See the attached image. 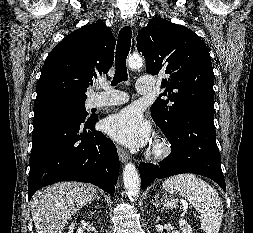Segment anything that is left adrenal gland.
<instances>
[{
	"instance_id": "1",
	"label": "left adrenal gland",
	"mask_w": 253,
	"mask_h": 233,
	"mask_svg": "<svg viewBox=\"0 0 253 233\" xmlns=\"http://www.w3.org/2000/svg\"><path fill=\"white\" fill-rule=\"evenodd\" d=\"M153 205L155 208L158 207V196L155 197V200L153 201Z\"/></svg>"
}]
</instances>
